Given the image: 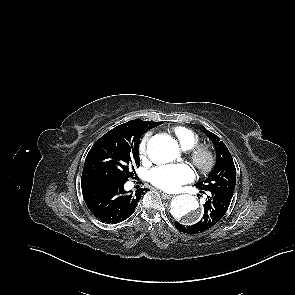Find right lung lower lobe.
Instances as JSON below:
<instances>
[{"instance_id": "obj_1", "label": "right lung lower lobe", "mask_w": 295, "mask_h": 295, "mask_svg": "<svg viewBox=\"0 0 295 295\" xmlns=\"http://www.w3.org/2000/svg\"><path fill=\"white\" fill-rule=\"evenodd\" d=\"M124 184L106 180L82 182L84 200L96 218L116 224L132 215L145 192L140 189L129 194L124 190Z\"/></svg>"}]
</instances>
